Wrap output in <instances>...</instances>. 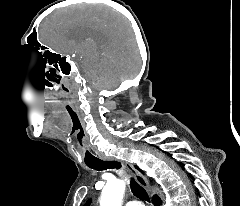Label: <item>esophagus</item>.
Returning a JSON list of instances; mask_svg holds the SVG:
<instances>
[{
	"instance_id": "obj_1",
	"label": "esophagus",
	"mask_w": 240,
	"mask_h": 206,
	"mask_svg": "<svg viewBox=\"0 0 240 206\" xmlns=\"http://www.w3.org/2000/svg\"><path fill=\"white\" fill-rule=\"evenodd\" d=\"M102 159L104 161H108V162L119 161L116 158L106 157V156H103ZM120 162H121L122 166L135 178L137 183L139 185H141L148 192V194L150 196H152L153 193H152V190H151L148 180L132 164L125 162V161H121V160H120Z\"/></svg>"
}]
</instances>
